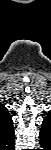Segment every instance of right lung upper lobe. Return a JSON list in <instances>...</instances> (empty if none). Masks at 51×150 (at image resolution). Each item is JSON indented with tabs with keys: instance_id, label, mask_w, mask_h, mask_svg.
I'll return each instance as SVG.
<instances>
[{
	"instance_id": "1",
	"label": "right lung upper lobe",
	"mask_w": 51,
	"mask_h": 150,
	"mask_svg": "<svg viewBox=\"0 0 51 150\" xmlns=\"http://www.w3.org/2000/svg\"><path fill=\"white\" fill-rule=\"evenodd\" d=\"M15 142L13 122L8 109L0 105V150H10Z\"/></svg>"
}]
</instances>
